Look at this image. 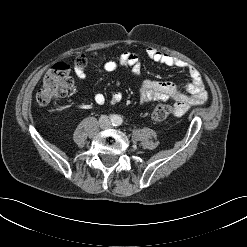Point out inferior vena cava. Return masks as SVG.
I'll list each match as a JSON object with an SVG mask.
<instances>
[{
	"instance_id": "obj_1",
	"label": "inferior vena cava",
	"mask_w": 247,
	"mask_h": 247,
	"mask_svg": "<svg viewBox=\"0 0 247 247\" xmlns=\"http://www.w3.org/2000/svg\"><path fill=\"white\" fill-rule=\"evenodd\" d=\"M100 122L102 126H106V124L110 125V121L108 120L106 116H102L100 119Z\"/></svg>"
}]
</instances>
